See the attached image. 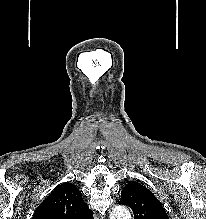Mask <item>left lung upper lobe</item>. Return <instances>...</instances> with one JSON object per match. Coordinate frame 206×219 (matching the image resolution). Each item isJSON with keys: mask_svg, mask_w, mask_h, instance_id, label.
I'll use <instances>...</instances> for the list:
<instances>
[{"mask_svg": "<svg viewBox=\"0 0 206 219\" xmlns=\"http://www.w3.org/2000/svg\"><path fill=\"white\" fill-rule=\"evenodd\" d=\"M119 204L129 206L134 219H169L161 202L140 183L130 181L121 192Z\"/></svg>", "mask_w": 206, "mask_h": 219, "instance_id": "5c2ea615", "label": "left lung upper lobe"}]
</instances>
